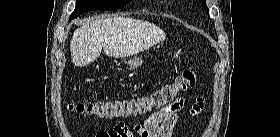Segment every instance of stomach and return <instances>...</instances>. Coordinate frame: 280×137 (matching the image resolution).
Listing matches in <instances>:
<instances>
[{
	"label": "stomach",
	"mask_w": 280,
	"mask_h": 137,
	"mask_svg": "<svg viewBox=\"0 0 280 137\" xmlns=\"http://www.w3.org/2000/svg\"><path fill=\"white\" fill-rule=\"evenodd\" d=\"M142 59L138 58V57H134L132 59H130L127 64L129 65L130 69H136L139 66L142 65Z\"/></svg>",
	"instance_id": "stomach-1"
}]
</instances>
